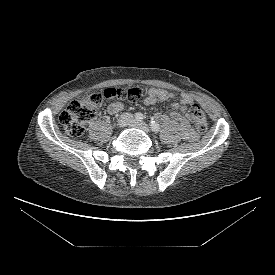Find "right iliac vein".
<instances>
[{"mask_svg": "<svg viewBox=\"0 0 275 275\" xmlns=\"http://www.w3.org/2000/svg\"><path fill=\"white\" fill-rule=\"evenodd\" d=\"M132 122V118L129 115H123L118 120V126L123 128Z\"/></svg>", "mask_w": 275, "mask_h": 275, "instance_id": "obj_1", "label": "right iliac vein"}]
</instances>
